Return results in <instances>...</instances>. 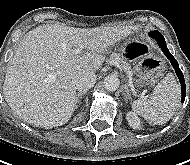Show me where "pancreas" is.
<instances>
[{
  "label": "pancreas",
  "mask_w": 190,
  "mask_h": 165,
  "mask_svg": "<svg viewBox=\"0 0 190 165\" xmlns=\"http://www.w3.org/2000/svg\"><path fill=\"white\" fill-rule=\"evenodd\" d=\"M108 61H115L117 62L126 72L130 71V65L125 62L123 59H121L117 54L110 55V58Z\"/></svg>",
  "instance_id": "pancreas-1"
}]
</instances>
